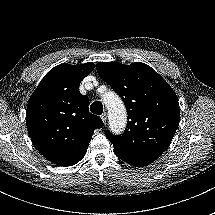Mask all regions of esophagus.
Returning <instances> with one entry per match:
<instances>
[{
	"label": "esophagus",
	"mask_w": 215,
	"mask_h": 215,
	"mask_svg": "<svg viewBox=\"0 0 215 215\" xmlns=\"http://www.w3.org/2000/svg\"><path fill=\"white\" fill-rule=\"evenodd\" d=\"M100 118L102 119L103 123L105 124L106 121H107V113L106 112L102 113V115L100 116Z\"/></svg>",
	"instance_id": "esophagus-1"
}]
</instances>
